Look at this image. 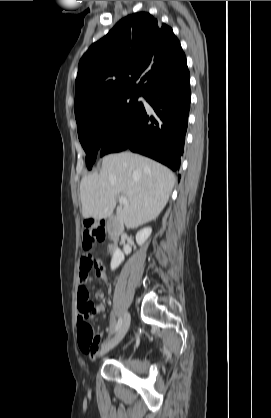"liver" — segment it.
<instances>
[{
  "label": "liver",
  "mask_w": 271,
  "mask_h": 418,
  "mask_svg": "<svg viewBox=\"0 0 271 418\" xmlns=\"http://www.w3.org/2000/svg\"><path fill=\"white\" fill-rule=\"evenodd\" d=\"M174 184L173 172L154 160L131 152L107 155L98 173L81 180L83 217H110L122 195L128 205L117 207L116 219L129 229L137 228L159 216Z\"/></svg>",
  "instance_id": "obj_1"
}]
</instances>
